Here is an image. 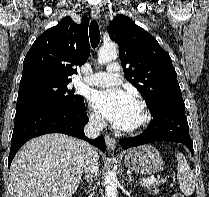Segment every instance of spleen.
<instances>
[{
  "mask_svg": "<svg viewBox=\"0 0 209 197\" xmlns=\"http://www.w3.org/2000/svg\"><path fill=\"white\" fill-rule=\"evenodd\" d=\"M177 162V180L179 182L180 190L186 196H190L195 190L194 174L182 153L177 154Z\"/></svg>",
  "mask_w": 209,
  "mask_h": 197,
  "instance_id": "obj_1",
  "label": "spleen"
}]
</instances>
